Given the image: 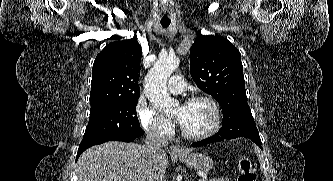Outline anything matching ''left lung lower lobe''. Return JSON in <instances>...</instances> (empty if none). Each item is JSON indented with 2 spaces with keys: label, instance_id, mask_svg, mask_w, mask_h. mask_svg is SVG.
I'll use <instances>...</instances> for the list:
<instances>
[{
  "label": "left lung lower lobe",
  "instance_id": "1",
  "mask_svg": "<svg viewBox=\"0 0 333 181\" xmlns=\"http://www.w3.org/2000/svg\"><path fill=\"white\" fill-rule=\"evenodd\" d=\"M230 124H232V122L230 120L223 121V126H222V128H220L218 133H216L214 136H212L208 139L193 143L192 146L193 147H200V146H203V145H206V144H209V143L223 141L225 139L237 138V137L233 136L232 134H230L229 132L226 131ZM252 141L255 142L262 149L261 141H255V140H252Z\"/></svg>",
  "mask_w": 333,
  "mask_h": 181
}]
</instances>
